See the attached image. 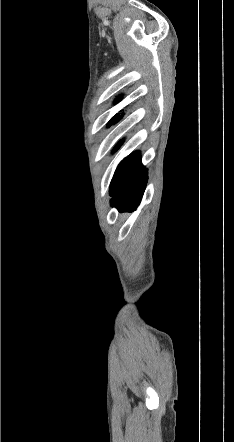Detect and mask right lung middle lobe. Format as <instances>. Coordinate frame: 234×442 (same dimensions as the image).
Instances as JSON below:
<instances>
[{
    "instance_id": "right-lung-middle-lobe-1",
    "label": "right lung middle lobe",
    "mask_w": 234,
    "mask_h": 442,
    "mask_svg": "<svg viewBox=\"0 0 234 442\" xmlns=\"http://www.w3.org/2000/svg\"><path fill=\"white\" fill-rule=\"evenodd\" d=\"M116 118H117V116H114V117L110 120L108 126H110L111 124H113V123L116 121Z\"/></svg>"
}]
</instances>
